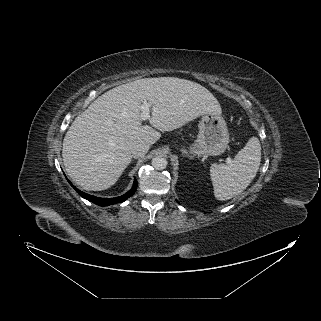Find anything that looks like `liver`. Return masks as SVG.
I'll use <instances>...</instances> for the list:
<instances>
[{
  "instance_id": "6515ba94",
  "label": "liver",
  "mask_w": 321,
  "mask_h": 321,
  "mask_svg": "<svg viewBox=\"0 0 321 321\" xmlns=\"http://www.w3.org/2000/svg\"><path fill=\"white\" fill-rule=\"evenodd\" d=\"M151 104L141 125V104ZM221 114L217 99L198 83L176 77L144 78L117 86L75 118L63 140L68 175L85 190L110 188L132 160L131 147L153 145L205 113Z\"/></svg>"
}]
</instances>
